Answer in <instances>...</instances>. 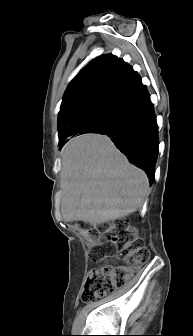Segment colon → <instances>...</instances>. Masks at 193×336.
Returning <instances> with one entry per match:
<instances>
[{
    "label": "colon",
    "mask_w": 193,
    "mask_h": 336,
    "mask_svg": "<svg viewBox=\"0 0 193 336\" xmlns=\"http://www.w3.org/2000/svg\"><path fill=\"white\" fill-rule=\"evenodd\" d=\"M98 235L102 239L104 253L117 256L124 264L104 265L92 269L81 294L84 303H91L123 287L130 276L147 261L150 254L143 241L127 230V223L122 219L99 229Z\"/></svg>",
    "instance_id": "colon-1"
}]
</instances>
